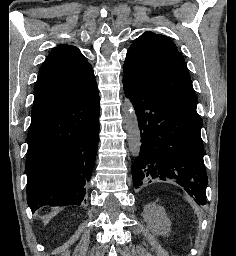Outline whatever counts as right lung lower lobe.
Masks as SVG:
<instances>
[{
    "mask_svg": "<svg viewBox=\"0 0 236 256\" xmlns=\"http://www.w3.org/2000/svg\"><path fill=\"white\" fill-rule=\"evenodd\" d=\"M27 137V201L32 212L44 205H81L99 139L97 84L32 120Z\"/></svg>",
    "mask_w": 236,
    "mask_h": 256,
    "instance_id": "right-lung-lower-lobe-1",
    "label": "right lung lower lobe"
}]
</instances>
